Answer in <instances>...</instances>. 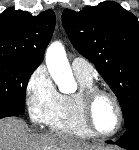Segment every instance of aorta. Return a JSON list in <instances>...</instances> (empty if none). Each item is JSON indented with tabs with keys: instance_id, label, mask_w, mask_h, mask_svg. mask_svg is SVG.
Listing matches in <instances>:
<instances>
[{
	"instance_id": "aorta-1",
	"label": "aorta",
	"mask_w": 139,
	"mask_h": 150,
	"mask_svg": "<svg viewBox=\"0 0 139 150\" xmlns=\"http://www.w3.org/2000/svg\"><path fill=\"white\" fill-rule=\"evenodd\" d=\"M46 65L48 71L63 93H71L76 83L69 65L65 49L60 42L52 43L46 51Z\"/></svg>"
}]
</instances>
